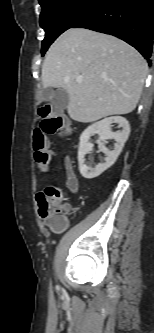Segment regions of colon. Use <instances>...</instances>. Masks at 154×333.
<instances>
[{
    "label": "colon",
    "mask_w": 154,
    "mask_h": 333,
    "mask_svg": "<svg viewBox=\"0 0 154 333\" xmlns=\"http://www.w3.org/2000/svg\"><path fill=\"white\" fill-rule=\"evenodd\" d=\"M40 125L35 128L32 135V146L36 167L45 171L51 161V150L48 135L58 134L61 136L70 133L69 121L61 114L49 109L41 108ZM36 204L40 217L53 231H59L66 227L65 205L59 188L49 186L36 196Z\"/></svg>",
    "instance_id": "obj_1"
}]
</instances>
